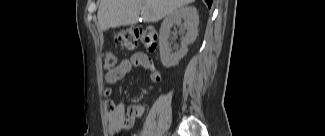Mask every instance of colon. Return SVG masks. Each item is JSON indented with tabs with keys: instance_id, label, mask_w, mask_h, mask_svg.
Here are the masks:
<instances>
[{
	"instance_id": "obj_1",
	"label": "colon",
	"mask_w": 325,
	"mask_h": 136,
	"mask_svg": "<svg viewBox=\"0 0 325 136\" xmlns=\"http://www.w3.org/2000/svg\"><path fill=\"white\" fill-rule=\"evenodd\" d=\"M115 41L127 50H135L139 46L154 51L157 46V33L152 26H131L119 31ZM119 58L113 50L104 53L103 68L109 72L119 65Z\"/></svg>"
}]
</instances>
